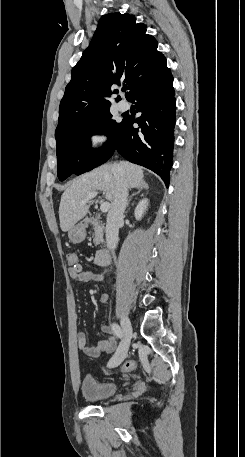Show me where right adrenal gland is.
<instances>
[{"label":"right adrenal gland","instance_id":"1","mask_svg":"<svg viewBox=\"0 0 245 457\" xmlns=\"http://www.w3.org/2000/svg\"><path fill=\"white\" fill-rule=\"evenodd\" d=\"M138 190L137 192H134V194H131L128 202H127V206H129L130 204V200H132V196H135V194H138V192H141L142 188H145V190H147V188H149L147 182H145V180H143L142 184H139V186H137Z\"/></svg>","mask_w":245,"mask_h":457}]
</instances>
